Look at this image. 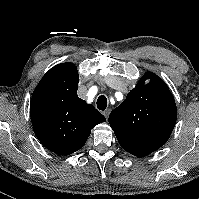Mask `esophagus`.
<instances>
[{
	"mask_svg": "<svg viewBox=\"0 0 199 199\" xmlns=\"http://www.w3.org/2000/svg\"><path fill=\"white\" fill-rule=\"evenodd\" d=\"M104 116L106 118H108L109 114H110V109H106L104 112H103Z\"/></svg>",
	"mask_w": 199,
	"mask_h": 199,
	"instance_id": "esophagus-1",
	"label": "esophagus"
}]
</instances>
